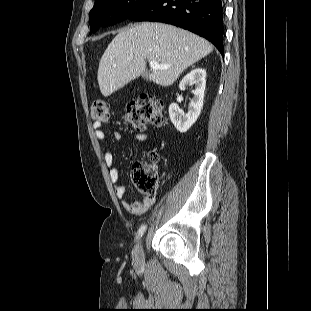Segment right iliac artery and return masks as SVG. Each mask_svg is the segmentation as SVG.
<instances>
[{"mask_svg":"<svg viewBox=\"0 0 311 311\" xmlns=\"http://www.w3.org/2000/svg\"><path fill=\"white\" fill-rule=\"evenodd\" d=\"M145 230H146V225H142V226L139 228V230H138V232H137V235H136V241H137L140 237H142V235L144 234Z\"/></svg>","mask_w":311,"mask_h":311,"instance_id":"right-iliac-artery-1","label":"right iliac artery"}]
</instances>
